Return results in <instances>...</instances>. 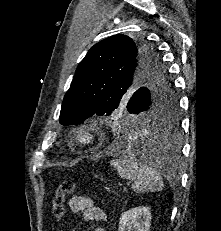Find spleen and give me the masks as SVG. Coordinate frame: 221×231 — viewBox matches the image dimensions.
Wrapping results in <instances>:
<instances>
[{"label":"spleen","instance_id":"1","mask_svg":"<svg viewBox=\"0 0 221 231\" xmlns=\"http://www.w3.org/2000/svg\"><path fill=\"white\" fill-rule=\"evenodd\" d=\"M110 165L121 178L133 182L132 189L137 193L158 192L163 188L160 172L153 165H148L145 161L139 162L132 155L124 159H114Z\"/></svg>","mask_w":221,"mask_h":231}]
</instances>
